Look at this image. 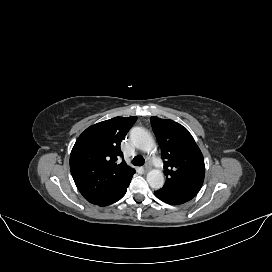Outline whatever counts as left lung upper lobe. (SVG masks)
Returning <instances> with one entry per match:
<instances>
[{
  "mask_svg": "<svg viewBox=\"0 0 272 272\" xmlns=\"http://www.w3.org/2000/svg\"><path fill=\"white\" fill-rule=\"evenodd\" d=\"M151 126L161 148L163 188L198 193L205 176L203 155L188 130L173 120L151 117Z\"/></svg>",
  "mask_w": 272,
  "mask_h": 272,
  "instance_id": "5c2ea615",
  "label": "left lung upper lobe"
}]
</instances>
